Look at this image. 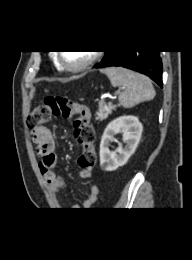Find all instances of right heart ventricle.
Instances as JSON below:
<instances>
[{
  "label": "right heart ventricle",
  "instance_id": "1",
  "mask_svg": "<svg viewBox=\"0 0 192 260\" xmlns=\"http://www.w3.org/2000/svg\"><path fill=\"white\" fill-rule=\"evenodd\" d=\"M54 62H55V65H56L57 67H59V64L56 62V60H54Z\"/></svg>",
  "mask_w": 192,
  "mask_h": 260
}]
</instances>
